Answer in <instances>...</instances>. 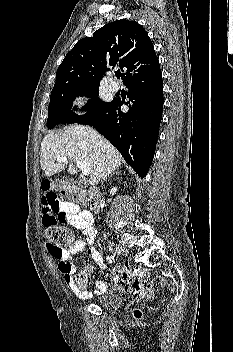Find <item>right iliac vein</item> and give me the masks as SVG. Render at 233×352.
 <instances>
[{
	"label": "right iliac vein",
	"mask_w": 233,
	"mask_h": 352,
	"mask_svg": "<svg viewBox=\"0 0 233 352\" xmlns=\"http://www.w3.org/2000/svg\"><path fill=\"white\" fill-rule=\"evenodd\" d=\"M110 250L113 253L119 254V255H128L129 254V250L122 245H113L110 247Z\"/></svg>",
	"instance_id": "63e3f726"
}]
</instances>
